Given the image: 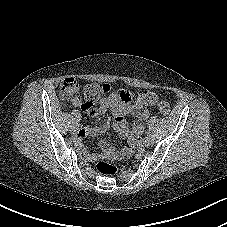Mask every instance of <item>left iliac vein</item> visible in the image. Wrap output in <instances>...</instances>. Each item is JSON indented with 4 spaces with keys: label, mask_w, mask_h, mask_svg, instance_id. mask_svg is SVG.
<instances>
[{
    "label": "left iliac vein",
    "mask_w": 227,
    "mask_h": 227,
    "mask_svg": "<svg viewBox=\"0 0 227 227\" xmlns=\"http://www.w3.org/2000/svg\"><path fill=\"white\" fill-rule=\"evenodd\" d=\"M152 144H153V139H152V137L147 136V137H145V138L143 139V145H144L145 147H149V146H151Z\"/></svg>",
    "instance_id": "left-iliac-vein-1"
}]
</instances>
